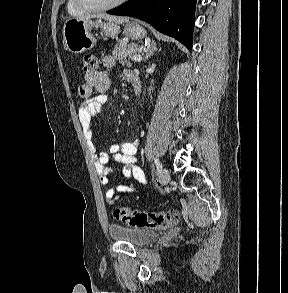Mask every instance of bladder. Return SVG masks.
I'll list each match as a JSON object with an SVG mask.
<instances>
[{"instance_id":"31cf9c89","label":"bladder","mask_w":288,"mask_h":293,"mask_svg":"<svg viewBox=\"0 0 288 293\" xmlns=\"http://www.w3.org/2000/svg\"><path fill=\"white\" fill-rule=\"evenodd\" d=\"M110 236L118 241L130 243L134 246H143L151 242L157 233L146 227H131L120 224H111Z\"/></svg>"}]
</instances>
